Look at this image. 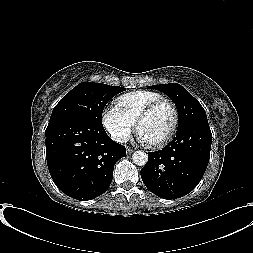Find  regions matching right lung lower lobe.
Wrapping results in <instances>:
<instances>
[{
	"label": "right lung lower lobe",
	"mask_w": 253,
	"mask_h": 253,
	"mask_svg": "<svg viewBox=\"0 0 253 253\" xmlns=\"http://www.w3.org/2000/svg\"><path fill=\"white\" fill-rule=\"evenodd\" d=\"M46 159L55 185L77 200H91L109 188L115 163L126 149L113 141L103 125L80 117L49 121Z\"/></svg>",
	"instance_id": "right-lung-lower-lobe-1"
}]
</instances>
